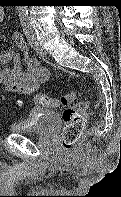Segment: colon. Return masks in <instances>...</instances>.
I'll use <instances>...</instances> for the list:
<instances>
[{
    "label": "colon",
    "instance_id": "1",
    "mask_svg": "<svg viewBox=\"0 0 121 197\" xmlns=\"http://www.w3.org/2000/svg\"><path fill=\"white\" fill-rule=\"evenodd\" d=\"M74 99L73 92L57 99L41 93L35 96V103L39 106L65 107L63 111L64 127L61 133V143L65 151H72L76 147L86 124V110L90 106L88 98L78 103H73Z\"/></svg>",
    "mask_w": 121,
    "mask_h": 197
}]
</instances>
